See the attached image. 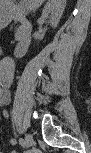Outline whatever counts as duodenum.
I'll return each mask as SVG.
<instances>
[{"label": "duodenum", "instance_id": "410a0bca", "mask_svg": "<svg viewBox=\"0 0 91 153\" xmlns=\"http://www.w3.org/2000/svg\"><path fill=\"white\" fill-rule=\"evenodd\" d=\"M11 17L14 21H17L20 25L19 27V39L18 43L14 49L15 57H22L28 50L31 38H32V24L26 17V9L24 6L19 7L11 13Z\"/></svg>", "mask_w": 91, "mask_h": 153}]
</instances>
